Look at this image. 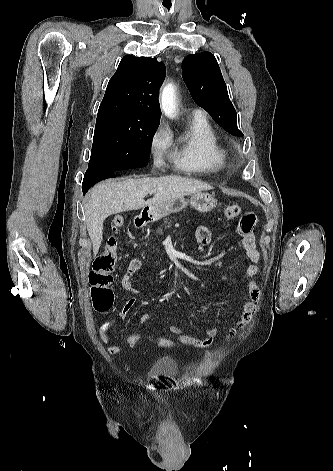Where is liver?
Segmentation results:
<instances>
[{"mask_svg":"<svg viewBox=\"0 0 333 471\" xmlns=\"http://www.w3.org/2000/svg\"><path fill=\"white\" fill-rule=\"evenodd\" d=\"M211 189L212 186L202 181L173 175L101 182L87 196L84 204L86 226L94 256L99 251L103 239V223L108 216ZM147 194H153V197L145 201Z\"/></svg>","mask_w":333,"mask_h":471,"instance_id":"1","label":"liver"}]
</instances>
